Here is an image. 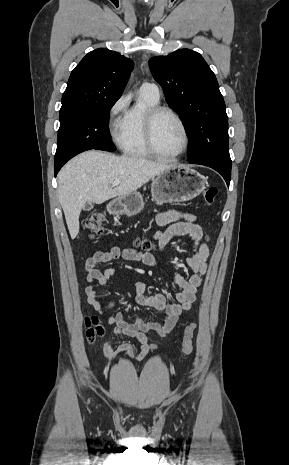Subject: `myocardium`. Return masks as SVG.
<instances>
[{"label": "myocardium", "mask_w": 289, "mask_h": 465, "mask_svg": "<svg viewBox=\"0 0 289 465\" xmlns=\"http://www.w3.org/2000/svg\"><path fill=\"white\" fill-rule=\"evenodd\" d=\"M164 113L173 116L178 121L184 134V145L182 149L179 152L172 155H165L161 153L158 150L155 142V124L158 117ZM144 135L147 148L151 152V154L155 157L164 160H173L179 158L188 150L190 144V133L185 121L174 109L167 106L155 105L147 110L144 119Z\"/></svg>", "instance_id": "myocardium-1"}]
</instances>
